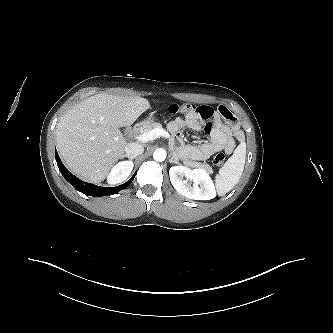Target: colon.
Segmentation results:
<instances>
[{
	"label": "colon",
	"mask_w": 333,
	"mask_h": 333,
	"mask_svg": "<svg viewBox=\"0 0 333 333\" xmlns=\"http://www.w3.org/2000/svg\"><path fill=\"white\" fill-rule=\"evenodd\" d=\"M197 108L198 107L192 103L171 104L168 107V112L171 114L188 113L190 111L196 110ZM224 161L225 155L223 153H217L213 158V163L217 167H221L224 164Z\"/></svg>",
	"instance_id": "1"
}]
</instances>
